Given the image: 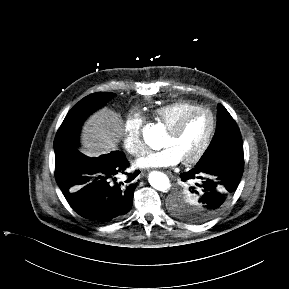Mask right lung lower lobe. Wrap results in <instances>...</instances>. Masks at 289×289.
<instances>
[{"mask_svg":"<svg viewBox=\"0 0 289 289\" xmlns=\"http://www.w3.org/2000/svg\"><path fill=\"white\" fill-rule=\"evenodd\" d=\"M55 178L68 203L80 216L95 223L123 218L131 209L137 172L117 183L116 175L129 166L125 154L112 151L90 158L77 148L55 157ZM114 181L115 183H113Z\"/></svg>","mask_w":289,"mask_h":289,"instance_id":"98d812e1","label":"right lung lower lobe"}]
</instances>
